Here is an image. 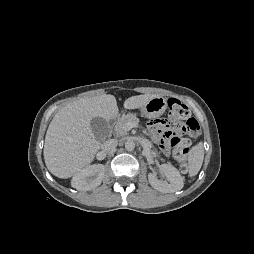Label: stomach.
<instances>
[{
  "instance_id": "0dacf381",
  "label": "stomach",
  "mask_w": 254,
  "mask_h": 254,
  "mask_svg": "<svg viewBox=\"0 0 254 254\" xmlns=\"http://www.w3.org/2000/svg\"><path fill=\"white\" fill-rule=\"evenodd\" d=\"M166 109V99L161 96H156L151 98L146 104L141 107V112L147 118H157L164 114Z\"/></svg>"
}]
</instances>
